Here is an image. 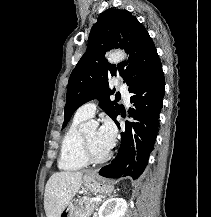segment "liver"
<instances>
[{"label":"liver","mask_w":211,"mask_h":217,"mask_svg":"<svg viewBox=\"0 0 211 217\" xmlns=\"http://www.w3.org/2000/svg\"><path fill=\"white\" fill-rule=\"evenodd\" d=\"M82 172L61 171L52 174L44 193L46 217H59L82 185Z\"/></svg>","instance_id":"1"}]
</instances>
